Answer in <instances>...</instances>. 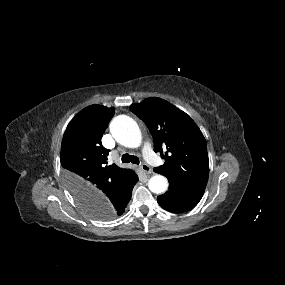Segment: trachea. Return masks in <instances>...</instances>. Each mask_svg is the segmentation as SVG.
Masks as SVG:
<instances>
[{
	"instance_id": "trachea-1",
	"label": "trachea",
	"mask_w": 285,
	"mask_h": 285,
	"mask_svg": "<svg viewBox=\"0 0 285 285\" xmlns=\"http://www.w3.org/2000/svg\"><path fill=\"white\" fill-rule=\"evenodd\" d=\"M121 161L123 163H133V164H139V158L137 156L134 155H129V154H124L121 158Z\"/></svg>"
}]
</instances>
